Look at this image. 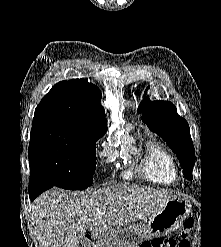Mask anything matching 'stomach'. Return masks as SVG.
Instances as JSON below:
<instances>
[{"mask_svg":"<svg viewBox=\"0 0 221 247\" xmlns=\"http://www.w3.org/2000/svg\"><path fill=\"white\" fill-rule=\"evenodd\" d=\"M191 214V204L180 197L169 200L148 220L107 232H97L100 247H140L145 239L160 237L177 230Z\"/></svg>","mask_w":221,"mask_h":247,"instance_id":"0dacf381","label":"stomach"}]
</instances>
